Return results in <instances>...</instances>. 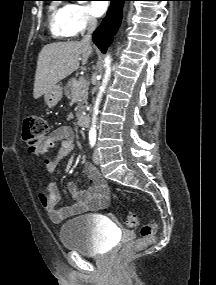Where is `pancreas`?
<instances>
[{"label": "pancreas", "mask_w": 216, "mask_h": 285, "mask_svg": "<svg viewBox=\"0 0 216 285\" xmlns=\"http://www.w3.org/2000/svg\"><path fill=\"white\" fill-rule=\"evenodd\" d=\"M76 81L75 78H71L65 86V95L68 99L72 98L74 93V82ZM78 93V104L76 106V116L79 117L86 108L87 99H88V92H87V83L84 79H82V85L76 90Z\"/></svg>", "instance_id": "obj_1"}]
</instances>
